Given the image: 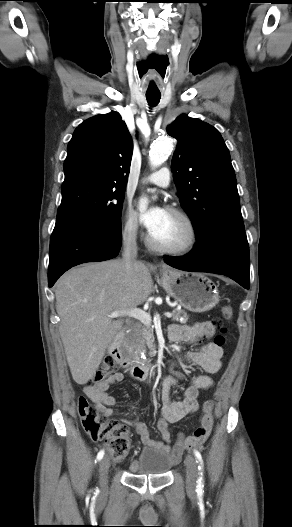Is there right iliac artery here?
<instances>
[{"label": "right iliac artery", "instance_id": "82829eb1", "mask_svg": "<svg viewBox=\"0 0 292 527\" xmlns=\"http://www.w3.org/2000/svg\"><path fill=\"white\" fill-rule=\"evenodd\" d=\"M104 456V450L99 451L97 454V461H100Z\"/></svg>", "mask_w": 292, "mask_h": 527}]
</instances>
